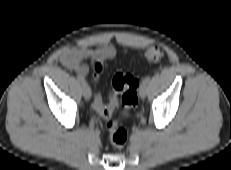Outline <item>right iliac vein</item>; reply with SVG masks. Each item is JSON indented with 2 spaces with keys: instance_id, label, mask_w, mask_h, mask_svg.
Segmentation results:
<instances>
[{
  "instance_id": "63e3f726",
  "label": "right iliac vein",
  "mask_w": 231,
  "mask_h": 170,
  "mask_svg": "<svg viewBox=\"0 0 231 170\" xmlns=\"http://www.w3.org/2000/svg\"><path fill=\"white\" fill-rule=\"evenodd\" d=\"M82 93L85 99L89 100L91 97V88L87 83L82 84Z\"/></svg>"
}]
</instances>
